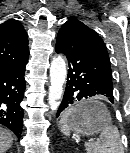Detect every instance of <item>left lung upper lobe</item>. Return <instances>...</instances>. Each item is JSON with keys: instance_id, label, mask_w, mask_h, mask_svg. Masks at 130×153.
Here are the masks:
<instances>
[{"instance_id": "5c2ea615", "label": "left lung upper lobe", "mask_w": 130, "mask_h": 153, "mask_svg": "<svg viewBox=\"0 0 130 153\" xmlns=\"http://www.w3.org/2000/svg\"><path fill=\"white\" fill-rule=\"evenodd\" d=\"M59 33L68 34L82 40L97 50L110 63L105 44L101 37L81 21L75 18L69 19L62 25Z\"/></svg>"}]
</instances>
